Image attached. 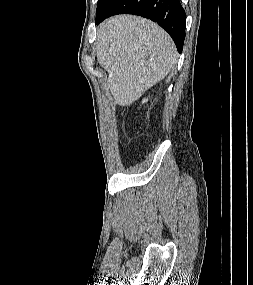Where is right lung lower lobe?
Listing matches in <instances>:
<instances>
[{"mask_svg": "<svg viewBox=\"0 0 253 285\" xmlns=\"http://www.w3.org/2000/svg\"><path fill=\"white\" fill-rule=\"evenodd\" d=\"M135 14L157 22L174 40L179 53L185 39L186 14L180 0H113L96 24L116 14Z\"/></svg>", "mask_w": 253, "mask_h": 285, "instance_id": "1", "label": "right lung lower lobe"}]
</instances>
